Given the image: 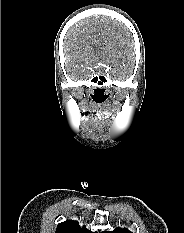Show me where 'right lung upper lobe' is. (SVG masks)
I'll use <instances>...</instances> for the list:
<instances>
[{
  "label": "right lung upper lobe",
  "mask_w": 184,
  "mask_h": 233,
  "mask_svg": "<svg viewBox=\"0 0 184 233\" xmlns=\"http://www.w3.org/2000/svg\"><path fill=\"white\" fill-rule=\"evenodd\" d=\"M56 233H92L85 226L80 227L79 222L67 220L57 225Z\"/></svg>",
  "instance_id": "1"
}]
</instances>
